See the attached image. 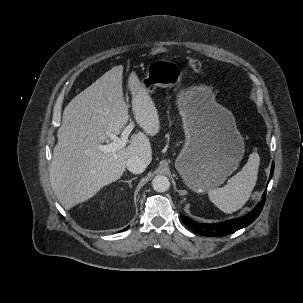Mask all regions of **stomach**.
Returning <instances> with one entry per match:
<instances>
[{
	"label": "stomach",
	"instance_id": "1",
	"mask_svg": "<svg viewBox=\"0 0 303 303\" xmlns=\"http://www.w3.org/2000/svg\"><path fill=\"white\" fill-rule=\"evenodd\" d=\"M183 71L166 59L151 62L142 79L149 93L156 87L179 85ZM185 145L175 167L185 184L195 192H206L225 182L243 158L245 145L231 111L215 101L205 85L191 86L177 95Z\"/></svg>",
	"mask_w": 303,
	"mask_h": 303
}]
</instances>
